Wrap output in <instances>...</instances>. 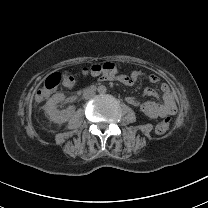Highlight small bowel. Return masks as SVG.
<instances>
[{
    "instance_id": "obj_1",
    "label": "small bowel",
    "mask_w": 208,
    "mask_h": 208,
    "mask_svg": "<svg viewBox=\"0 0 208 208\" xmlns=\"http://www.w3.org/2000/svg\"><path fill=\"white\" fill-rule=\"evenodd\" d=\"M145 77L150 82L157 83L160 81L156 74H144L140 71H133L130 75H115L112 73L100 74L98 76L99 82L120 80L127 86L133 85L139 78ZM71 85H65L71 87ZM161 95L152 88L145 89L140 96H129L127 102L138 107L141 112L150 119L165 118L174 115L177 112V105L174 100L171 89L167 83H161ZM144 96H156L159 101L140 102L139 98Z\"/></svg>"
}]
</instances>
